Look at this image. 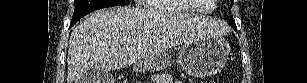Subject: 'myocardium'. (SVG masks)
Segmentation results:
<instances>
[{"label":"myocardium","mask_w":307,"mask_h":83,"mask_svg":"<svg viewBox=\"0 0 307 83\" xmlns=\"http://www.w3.org/2000/svg\"><path fill=\"white\" fill-rule=\"evenodd\" d=\"M183 1H185L186 3H188L190 6H192L193 7V9L196 11H198V12H200V13H202V14H208V13H211L212 11H213V9H214V5L212 4L211 5V8L209 9V10H202L199 6H198V4L196 3V1H194V0H183Z\"/></svg>","instance_id":"obj_1"}]
</instances>
